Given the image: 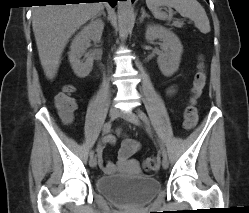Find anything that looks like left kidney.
Masks as SVG:
<instances>
[{
	"label": "left kidney",
	"mask_w": 249,
	"mask_h": 213,
	"mask_svg": "<svg viewBox=\"0 0 249 213\" xmlns=\"http://www.w3.org/2000/svg\"><path fill=\"white\" fill-rule=\"evenodd\" d=\"M148 41L161 39L162 53L157 58L160 71L165 76L173 75L179 68L183 46L175 33L159 25H148L145 33Z\"/></svg>",
	"instance_id": "obj_1"
}]
</instances>
